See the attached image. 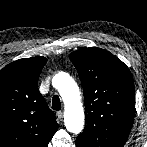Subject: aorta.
<instances>
[{"instance_id":"762f6f07","label":"aorta","mask_w":147,"mask_h":147,"mask_svg":"<svg viewBox=\"0 0 147 147\" xmlns=\"http://www.w3.org/2000/svg\"><path fill=\"white\" fill-rule=\"evenodd\" d=\"M52 83L64 102V123L67 130L79 134L84 126V110L77 83L65 72L57 73Z\"/></svg>"}]
</instances>
